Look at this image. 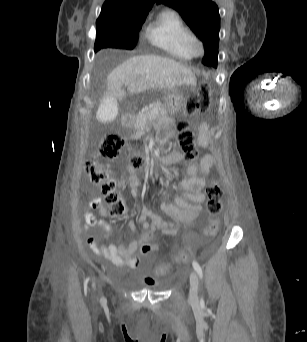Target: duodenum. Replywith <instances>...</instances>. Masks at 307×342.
Returning a JSON list of instances; mask_svg holds the SVG:
<instances>
[{"mask_svg":"<svg viewBox=\"0 0 307 342\" xmlns=\"http://www.w3.org/2000/svg\"><path fill=\"white\" fill-rule=\"evenodd\" d=\"M121 125L124 129H129L131 127V120L128 116H124L121 120ZM142 155H145L144 153H141ZM151 157L155 161H160V162H167L170 163V158L169 157H157L154 155H151Z\"/></svg>","mask_w":307,"mask_h":342,"instance_id":"1","label":"duodenum"}]
</instances>
